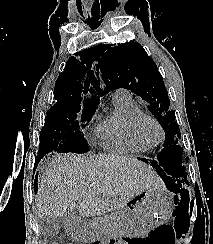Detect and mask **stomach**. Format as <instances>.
Returning <instances> with one entry per match:
<instances>
[{
	"mask_svg": "<svg viewBox=\"0 0 213 244\" xmlns=\"http://www.w3.org/2000/svg\"><path fill=\"white\" fill-rule=\"evenodd\" d=\"M133 207L130 210V218L124 231L142 232L154 229L164 223L171 215V199L167 194L165 187H150L141 191L133 200ZM100 221H67V231L71 236L81 241L101 239L105 233L104 229H97ZM90 226H93L92 229Z\"/></svg>",
	"mask_w": 213,
	"mask_h": 244,
	"instance_id": "stomach-1",
	"label": "stomach"
}]
</instances>
